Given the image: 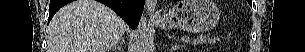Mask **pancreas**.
I'll return each instance as SVG.
<instances>
[{
	"mask_svg": "<svg viewBox=\"0 0 305 52\" xmlns=\"http://www.w3.org/2000/svg\"><path fill=\"white\" fill-rule=\"evenodd\" d=\"M219 41V38L217 37H210V35H199L196 38H194L191 43L194 45H201L204 43H216Z\"/></svg>",
	"mask_w": 305,
	"mask_h": 52,
	"instance_id": "1",
	"label": "pancreas"
}]
</instances>
